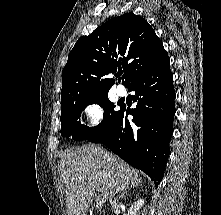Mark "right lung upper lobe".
Here are the masks:
<instances>
[{"label": "right lung upper lobe", "mask_w": 221, "mask_h": 215, "mask_svg": "<svg viewBox=\"0 0 221 215\" xmlns=\"http://www.w3.org/2000/svg\"><path fill=\"white\" fill-rule=\"evenodd\" d=\"M167 56L148 22L133 13L112 18L81 37L62 72L61 104L107 94L114 83L104 78L123 69L124 85L159 65Z\"/></svg>", "instance_id": "1"}]
</instances>
